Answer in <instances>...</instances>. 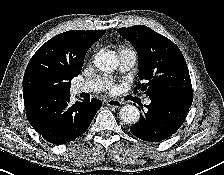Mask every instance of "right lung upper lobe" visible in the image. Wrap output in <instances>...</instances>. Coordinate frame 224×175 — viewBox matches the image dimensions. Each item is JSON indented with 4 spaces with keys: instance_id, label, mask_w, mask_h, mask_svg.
<instances>
[{
    "instance_id": "cb5924a9",
    "label": "right lung upper lobe",
    "mask_w": 224,
    "mask_h": 175,
    "mask_svg": "<svg viewBox=\"0 0 224 175\" xmlns=\"http://www.w3.org/2000/svg\"><path fill=\"white\" fill-rule=\"evenodd\" d=\"M104 30H71L44 43L31 58L23 78V98L44 94L45 87L70 84L81 72L85 54Z\"/></svg>"
}]
</instances>
